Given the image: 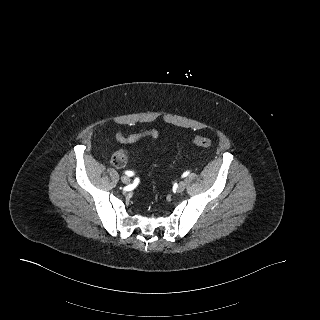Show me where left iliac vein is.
I'll use <instances>...</instances> for the list:
<instances>
[{
	"label": "left iliac vein",
	"mask_w": 320,
	"mask_h": 320,
	"mask_svg": "<svg viewBox=\"0 0 320 320\" xmlns=\"http://www.w3.org/2000/svg\"><path fill=\"white\" fill-rule=\"evenodd\" d=\"M185 187H186V182L185 181H181L177 186V192L178 193L183 192Z\"/></svg>",
	"instance_id": "1"
}]
</instances>
